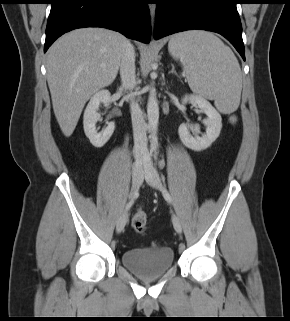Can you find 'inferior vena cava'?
Here are the masks:
<instances>
[{
    "label": "inferior vena cava",
    "mask_w": 290,
    "mask_h": 321,
    "mask_svg": "<svg viewBox=\"0 0 290 321\" xmlns=\"http://www.w3.org/2000/svg\"><path fill=\"white\" fill-rule=\"evenodd\" d=\"M120 76L122 87L132 91L136 86L135 51L133 45L128 41L123 48ZM130 101L135 155L137 158H146L148 156L146 123L140 106L135 102L134 96H131Z\"/></svg>",
    "instance_id": "1"
}]
</instances>
